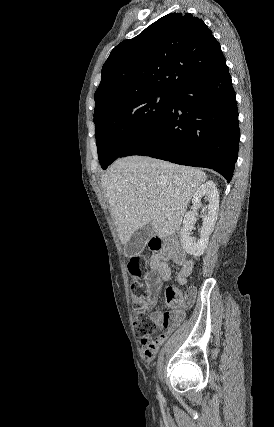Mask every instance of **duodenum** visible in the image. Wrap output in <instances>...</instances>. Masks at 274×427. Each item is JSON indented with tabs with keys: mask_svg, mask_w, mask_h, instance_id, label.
<instances>
[{
	"mask_svg": "<svg viewBox=\"0 0 274 427\" xmlns=\"http://www.w3.org/2000/svg\"><path fill=\"white\" fill-rule=\"evenodd\" d=\"M153 246L157 249H160L162 246V242L158 237H154L152 240Z\"/></svg>",
	"mask_w": 274,
	"mask_h": 427,
	"instance_id": "obj_1",
	"label": "duodenum"
}]
</instances>
